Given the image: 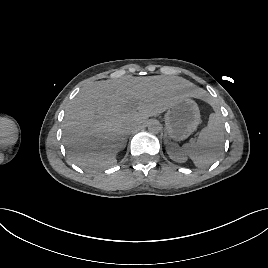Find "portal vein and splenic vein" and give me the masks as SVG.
<instances>
[{
  "mask_svg": "<svg viewBox=\"0 0 268 268\" xmlns=\"http://www.w3.org/2000/svg\"><path fill=\"white\" fill-rule=\"evenodd\" d=\"M134 108V106L133 105H130L129 107H128V110H131V109H133Z\"/></svg>",
  "mask_w": 268,
  "mask_h": 268,
  "instance_id": "portal-vein-and-splenic-vein-1",
  "label": "portal vein and splenic vein"
}]
</instances>
